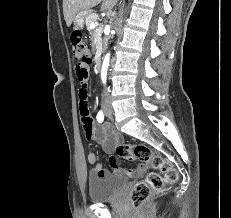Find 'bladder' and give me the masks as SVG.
I'll use <instances>...</instances> for the list:
<instances>
[{"instance_id": "obj_1", "label": "bladder", "mask_w": 231, "mask_h": 218, "mask_svg": "<svg viewBox=\"0 0 231 218\" xmlns=\"http://www.w3.org/2000/svg\"><path fill=\"white\" fill-rule=\"evenodd\" d=\"M127 180L118 176L90 175L88 178V197L92 203L114 200L126 186Z\"/></svg>"}]
</instances>
